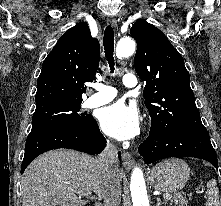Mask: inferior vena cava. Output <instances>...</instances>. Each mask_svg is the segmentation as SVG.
I'll return each instance as SVG.
<instances>
[{
	"label": "inferior vena cava",
	"instance_id": "obj_1",
	"mask_svg": "<svg viewBox=\"0 0 221 206\" xmlns=\"http://www.w3.org/2000/svg\"><path fill=\"white\" fill-rule=\"evenodd\" d=\"M98 162L109 177L103 193L104 206H119L121 202V186L120 181L117 179L119 172L118 154L116 147L112 143L107 144L98 157Z\"/></svg>",
	"mask_w": 221,
	"mask_h": 206
}]
</instances>
